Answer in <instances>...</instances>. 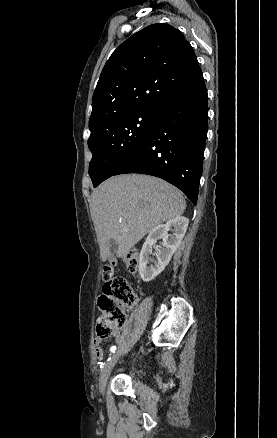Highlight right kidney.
I'll return each mask as SVG.
<instances>
[{
  "label": "right kidney",
  "mask_w": 277,
  "mask_h": 438,
  "mask_svg": "<svg viewBox=\"0 0 277 438\" xmlns=\"http://www.w3.org/2000/svg\"><path fill=\"white\" fill-rule=\"evenodd\" d=\"M189 220L184 216H176L172 220H168L162 226H156L147 236L146 242L142 246L139 256V274L143 282H151L156 276L163 272L165 266H168L174 252L180 246L186 230L188 228ZM172 230L173 234L170 236L168 232ZM157 240H163L160 250H157L156 260L149 258ZM153 262L151 266H148Z\"/></svg>",
  "instance_id": "obj_1"
}]
</instances>
